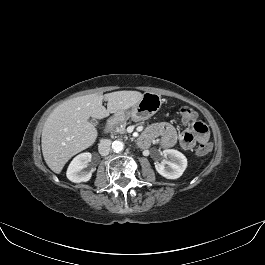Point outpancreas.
I'll return each mask as SVG.
<instances>
[{"label": "pancreas", "mask_w": 265, "mask_h": 265, "mask_svg": "<svg viewBox=\"0 0 265 265\" xmlns=\"http://www.w3.org/2000/svg\"><path fill=\"white\" fill-rule=\"evenodd\" d=\"M126 126H127L126 120L118 122L111 128V133L112 134H125Z\"/></svg>", "instance_id": "cf45deb5"}]
</instances>
